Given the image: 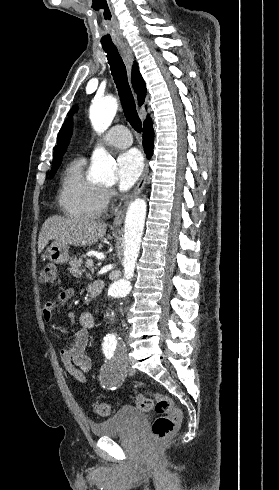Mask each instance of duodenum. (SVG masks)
<instances>
[{
    "mask_svg": "<svg viewBox=\"0 0 279 490\" xmlns=\"http://www.w3.org/2000/svg\"><path fill=\"white\" fill-rule=\"evenodd\" d=\"M101 289H102V282L96 281L92 283L91 286L89 287V293L91 296L95 297L101 292Z\"/></svg>",
    "mask_w": 279,
    "mask_h": 490,
    "instance_id": "duodenum-1",
    "label": "duodenum"
}]
</instances>
